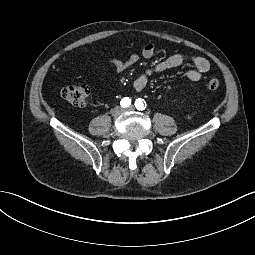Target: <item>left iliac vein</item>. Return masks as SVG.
<instances>
[{
    "mask_svg": "<svg viewBox=\"0 0 255 255\" xmlns=\"http://www.w3.org/2000/svg\"><path fill=\"white\" fill-rule=\"evenodd\" d=\"M127 110H129V111L134 110V107L130 106L129 108H127Z\"/></svg>",
    "mask_w": 255,
    "mask_h": 255,
    "instance_id": "1",
    "label": "left iliac vein"
}]
</instances>
